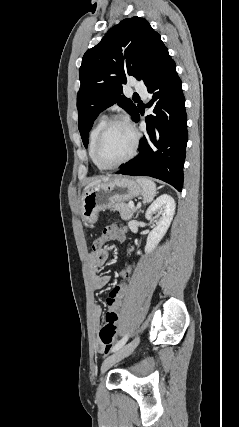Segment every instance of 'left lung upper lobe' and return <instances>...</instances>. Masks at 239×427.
I'll return each mask as SVG.
<instances>
[{
	"instance_id": "left-lung-upper-lobe-1",
	"label": "left lung upper lobe",
	"mask_w": 239,
	"mask_h": 427,
	"mask_svg": "<svg viewBox=\"0 0 239 427\" xmlns=\"http://www.w3.org/2000/svg\"><path fill=\"white\" fill-rule=\"evenodd\" d=\"M172 58L147 20L132 17L111 28L101 42L83 56L80 90L77 95L78 128L85 147L88 134L98 114L118 103L131 116L138 109L121 95L127 76L143 80L147 86Z\"/></svg>"
}]
</instances>
